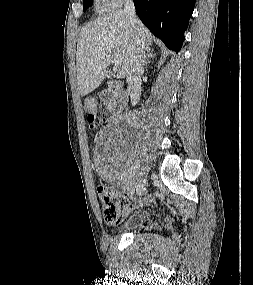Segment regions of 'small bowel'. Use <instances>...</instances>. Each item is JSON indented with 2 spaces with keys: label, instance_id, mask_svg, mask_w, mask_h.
I'll return each instance as SVG.
<instances>
[{
  "label": "small bowel",
  "instance_id": "small-bowel-1",
  "mask_svg": "<svg viewBox=\"0 0 253 285\" xmlns=\"http://www.w3.org/2000/svg\"><path fill=\"white\" fill-rule=\"evenodd\" d=\"M101 114L105 113L104 109L100 110ZM98 122H105V117H98ZM148 201V198H144L143 200L138 201V205H143Z\"/></svg>",
  "mask_w": 253,
  "mask_h": 285
}]
</instances>
